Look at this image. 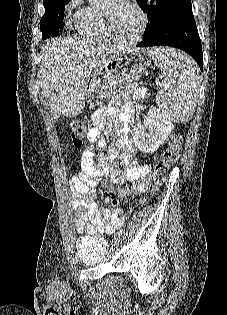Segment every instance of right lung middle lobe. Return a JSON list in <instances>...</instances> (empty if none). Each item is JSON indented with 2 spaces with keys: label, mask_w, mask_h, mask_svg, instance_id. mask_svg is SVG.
Listing matches in <instances>:
<instances>
[{
  "label": "right lung middle lobe",
  "mask_w": 227,
  "mask_h": 315,
  "mask_svg": "<svg viewBox=\"0 0 227 315\" xmlns=\"http://www.w3.org/2000/svg\"><path fill=\"white\" fill-rule=\"evenodd\" d=\"M70 0H48L43 2L45 14L40 20L42 38L57 36L63 29V17L65 5Z\"/></svg>",
  "instance_id": "1"
}]
</instances>
